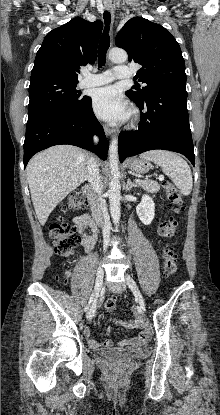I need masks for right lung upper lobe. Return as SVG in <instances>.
Segmentation results:
<instances>
[{
  "label": "right lung upper lobe",
  "mask_w": 220,
  "mask_h": 415,
  "mask_svg": "<svg viewBox=\"0 0 220 415\" xmlns=\"http://www.w3.org/2000/svg\"><path fill=\"white\" fill-rule=\"evenodd\" d=\"M103 24L75 17L50 31L35 58L30 80L58 78L78 81L80 67L96 60V51Z\"/></svg>",
  "instance_id": "obj_1"
}]
</instances>
